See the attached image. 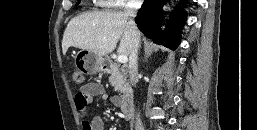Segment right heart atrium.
Returning a JSON list of instances; mask_svg holds the SVG:
<instances>
[{
	"label": "right heart atrium",
	"instance_id": "right-heart-atrium-1",
	"mask_svg": "<svg viewBox=\"0 0 257 130\" xmlns=\"http://www.w3.org/2000/svg\"><path fill=\"white\" fill-rule=\"evenodd\" d=\"M141 0H98L102 7L106 8H123L139 4Z\"/></svg>",
	"mask_w": 257,
	"mask_h": 130
}]
</instances>
